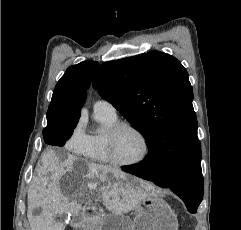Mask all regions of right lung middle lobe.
I'll return each instance as SVG.
<instances>
[{
    "instance_id": "obj_1",
    "label": "right lung middle lobe",
    "mask_w": 241,
    "mask_h": 230,
    "mask_svg": "<svg viewBox=\"0 0 241 230\" xmlns=\"http://www.w3.org/2000/svg\"><path fill=\"white\" fill-rule=\"evenodd\" d=\"M78 121H52L47 122L43 130L45 143L53 146H63L71 137Z\"/></svg>"
}]
</instances>
